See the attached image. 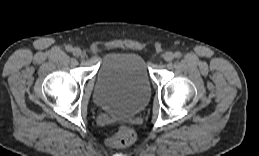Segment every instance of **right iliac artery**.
<instances>
[{"label": "right iliac artery", "instance_id": "right-iliac-artery-1", "mask_svg": "<svg viewBox=\"0 0 259 156\" xmlns=\"http://www.w3.org/2000/svg\"><path fill=\"white\" fill-rule=\"evenodd\" d=\"M65 49L66 51L70 52L73 50V47L71 45H67Z\"/></svg>", "mask_w": 259, "mask_h": 156}]
</instances>
